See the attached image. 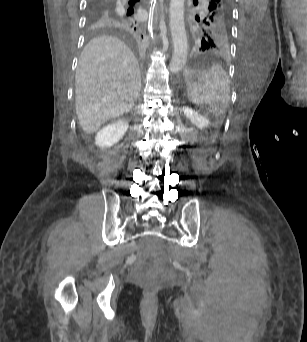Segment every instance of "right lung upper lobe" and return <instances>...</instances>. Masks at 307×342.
Here are the masks:
<instances>
[{
	"label": "right lung upper lobe",
	"instance_id": "obj_1",
	"mask_svg": "<svg viewBox=\"0 0 307 342\" xmlns=\"http://www.w3.org/2000/svg\"><path fill=\"white\" fill-rule=\"evenodd\" d=\"M140 0H89L86 25L90 33L143 39L145 20Z\"/></svg>",
	"mask_w": 307,
	"mask_h": 342
}]
</instances>
